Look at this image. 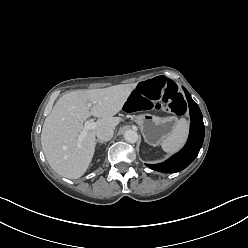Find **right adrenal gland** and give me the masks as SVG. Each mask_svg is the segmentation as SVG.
Listing matches in <instances>:
<instances>
[{"mask_svg":"<svg viewBox=\"0 0 248 248\" xmlns=\"http://www.w3.org/2000/svg\"><path fill=\"white\" fill-rule=\"evenodd\" d=\"M96 143L106 144V142H104V141H100V140H96Z\"/></svg>","mask_w":248,"mask_h":248,"instance_id":"right-adrenal-gland-1","label":"right adrenal gland"}]
</instances>
